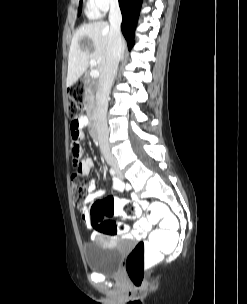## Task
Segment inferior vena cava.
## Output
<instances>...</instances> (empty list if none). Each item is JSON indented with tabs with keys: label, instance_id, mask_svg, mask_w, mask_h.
Listing matches in <instances>:
<instances>
[{
	"label": "inferior vena cava",
	"instance_id": "obj_1",
	"mask_svg": "<svg viewBox=\"0 0 247 304\" xmlns=\"http://www.w3.org/2000/svg\"><path fill=\"white\" fill-rule=\"evenodd\" d=\"M121 21L122 16L118 0H113L111 2L109 13L110 32L106 54V64L103 72L99 77V84L96 92V112L94 116V125L97 131L101 152L107 163L113 167L117 166V160L111 153L108 142L109 133L106 115L108 109L109 93L122 53V37L120 30Z\"/></svg>",
	"mask_w": 247,
	"mask_h": 304
}]
</instances>
